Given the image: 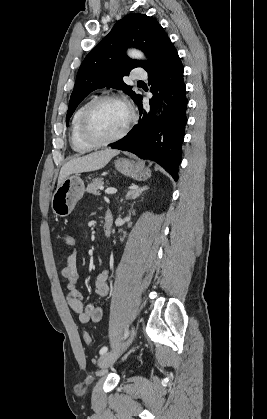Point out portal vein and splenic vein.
<instances>
[{"mask_svg":"<svg viewBox=\"0 0 267 419\" xmlns=\"http://www.w3.org/2000/svg\"><path fill=\"white\" fill-rule=\"evenodd\" d=\"M117 192V190L115 188H107L105 190L106 194H115Z\"/></svg>","mask_w":267,"mask_h":419,"instance_id":"1","label":"portal vein and splenic vein"}]
</instances>
